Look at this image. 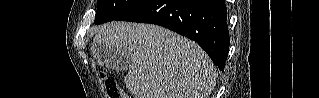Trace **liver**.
I'll return each mask as SVG.
<instances>
[{
  "label": "liver",
  "mask_w": 319,
  "mask_h": 98,
  "mask_svg": "<svg viewBox=\"0 0 319 98\" xmlns=\"http://www.w3.org/2000/svg\"><path fill=\"white\" fill-rule=\"evenodd\" d=\"M94 44L130 59L124 83L135 98H208L216 85L218 72L209 56L166 28L110 22L98 28Z\"/></svg>",
  "instance_id": "liver-1"
}]
</instances>
